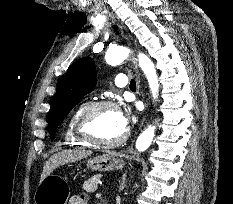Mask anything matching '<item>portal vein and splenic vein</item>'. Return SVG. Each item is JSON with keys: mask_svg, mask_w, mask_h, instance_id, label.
<instances>
[{"mask_svg": "<svg viewBox=\"0 0 233 204\" xmlns=\"http://www.w3.org/2000/svg\"><path fill=\"white\" fill-rule=\"evenodd\" d=\"M96 196L98 197V196H100V194H97Z\"/></svg>", "mask_w": 233, "mask_h": 204, "instance_id": "portal-vein-and-splenic-vein-1", "label": "portal vein and splenic vein"}]
</instances>
